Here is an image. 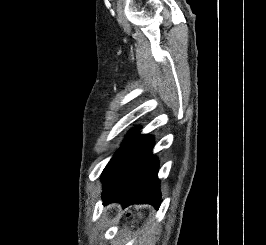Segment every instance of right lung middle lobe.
<instances>
[{
    "label": "right lung middle lobe",
    "instance_id": "dd1d6c3e",
    "mask_svg": "<svg viewBox=\"0 0 266 245\" xmlns=\"http://www.w3.org/2000/svg\"><path fill=\"white\" fill-rule=\"evenodd\" d=\"M139 130V127L134 128L133 130L130 131V133L127 135L126 139H130L133 135H135Z\"/></svg>",
    "mask_w": 266,
    "mask_h": 245
}]
</instances>
